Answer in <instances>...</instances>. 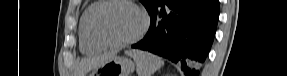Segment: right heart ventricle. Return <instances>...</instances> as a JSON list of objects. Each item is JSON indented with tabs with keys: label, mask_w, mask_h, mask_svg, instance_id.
I'll use <instances>...</instances> for the list:
<instances>
[{
	"label": "right heart ventricle",
	"mask_w": 287,
	"mask_h": 76,
	"mask_svg": "<svg viewBox=\"0 0 287 76\" xmlns=\"http://www.w3.org/2000/svg\"><path fill=\"white\" fill-rule=\"evenodd\" d=\"M102 1L92 2L82 13L79 25L80 50L85 54L98 53L103 50V47L94 41L90 33V18L94 10Z\"/></svg>",
	"instance_id": "1"
}]
</instances>
